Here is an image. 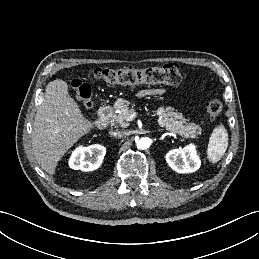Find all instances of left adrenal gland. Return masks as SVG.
<instances>
[{
  "label": "left adrenal gland",
  "instance_id": "obj_1",
  "mask_svg": "<svg viewBox=\"0 0 259 259\" xmlns=\"http://www.w3.org/2000/svg\"><path fill=\"white\" fill-rule=\"evenodd\" d=\"M162 131H163V129H159V130H158V132H162Z\"/></svg>",
  "mask_w": 259,
  "mask_h": 259
}]
</instances>
